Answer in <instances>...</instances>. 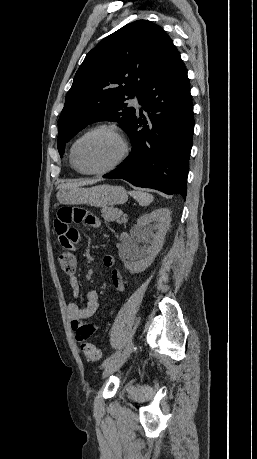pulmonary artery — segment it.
<instances>
[{
	"instance_id": "pulmonary-artery-1",
	"label": "pulmonary artery",
	"mask_w": 257,
	"mask_h": 459,
	"mask_svg": "<svg viewBox=\"0 0 257 459\" xmlns=\"http://www.w3.org/2000/svg\"><path fill=\"white\" fill-rule=\"evenodd\" d=\"M131 103L134 104L137 108H141L142 107V105H141V103H140V101H139V99L137 97L132 99Z\"/></svg>"
}]
</instances>
